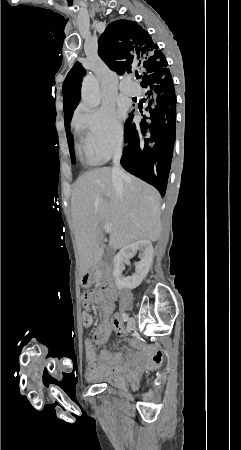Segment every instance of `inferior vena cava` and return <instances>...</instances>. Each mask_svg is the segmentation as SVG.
<instances>
[{
  "mask_svg": "<svg viewBox=\"0 0 241 450\" xmlns=\"http://www.w3.org/2000/svg\"><path fill=\"white\" fill-rule=\"evenodd\" d=\"M122 152H118L116 156L113 158V168H112V182L114 188L116 190H122L123 188V176L124 172L120 166V160H121Z\"/></svg>",
  "mask_w": 241,
  "mask_h": 450,
  "instance_id": "obj_1",
  "label": "inferior vena cava"
}]
</instances>
